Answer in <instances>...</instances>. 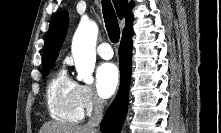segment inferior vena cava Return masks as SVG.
Segmentation results:
<instances>
[{"mask_svg": "<svg viewBox=\"0 0 221 133\" xmlns=\"http://www.w3.org/2000/svg\"><path fill=\"white\" fill-rule=\"evenodd\" d=\"M105 105V101L96 97L94 99V111L93 115L89 118L86 127L91 130V133H99L97 127L99 126L102 116H103V108Z\"/></svg>", "mask_w": 221, "mask_h": 133, "instance_id": "1", "label": "inferior vena cava"}]
</instances>
